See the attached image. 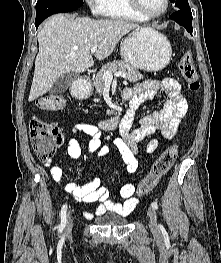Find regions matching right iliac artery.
I'll return each instance as SVG.
<instances>
[{"instance_id": "1", "label": "right iliac artery", "mask_w": 221, "mask_h": 263, "mask_svg": "<svg viewBox=\"0 0 221 263\" xmlns=\"http://www.w3.org/2000/svg\"><path fill=\"white\" fill-rule=\"evenodd\" d=\"M66 212H67V204H64L60 213L61 223L59 225V230H63L66 226Z\"/></svg>"}]
</instances>
